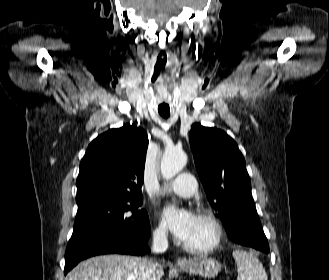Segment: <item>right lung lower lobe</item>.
<instances>
[{"label": "right lung lower lobe", "mask_w": 329, "mask_h": 280, "mask_svg": "<svg viewBox=\"0 0 329 280\" xmlns=\"http://www.w3.org/2000/svg\"><path fill=\"white\" fill-rule=\"evenodd\" d=\"M149 229L137 236H128L111 229H93L70 239L65 252L66 275L80 261L101 254L143 255L149 252L146 246Z\"/></svg>", "instance_id": "obj_1"}]
</instances>
